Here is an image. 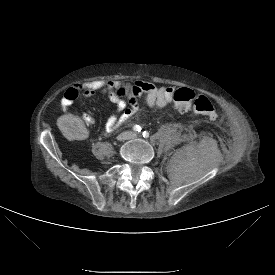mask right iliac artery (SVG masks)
I'll return each mask as SVG.
<instances>
[{"label": "right iliac artery", "instance_id": "obj_1", "mask_svg": "<svg viewBox=\"0 0 275 275\" xmlns=\"http://www.w3.org/2000/svg\"><path fill=\"white\" fill-rule=\"evenodd\" d=\"M133 131H135V132H140V131H141V127H140L139 125H135V126L133 127Z\"/></svg>", "mask_w": 275, "mask_h": 275}]
</instances>
